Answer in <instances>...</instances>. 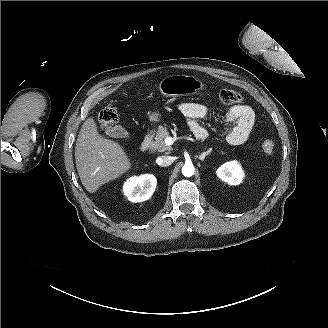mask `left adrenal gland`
Returning <instances> with one entry per match:
<instances>
[{"label":"left adrenal gland","instance_id":"left-adrenal-gland-1","mask_svg":"<svg viewBox=\"0 0 328 328\" xmlns=\"http://www.w3.org/2000/svg\"><path fill=\"white\" fill-rule=\"evenodd\" d=\"M210 153V151L204 152L201 156H199V159L203 160L205 156H207Z\"/></svg>","mask_w":328,"mask_h":328}]
</instances>
